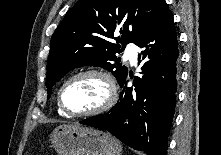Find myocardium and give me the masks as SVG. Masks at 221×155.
<instances>
[{
	"label": "myocardium",
	"mask_w": 221,
	"mask_h": 155,
	"mask_svg": "<svg viewBox=\"0 0 221 155\" xmlns=\"http://www.w3.org/2000/svg\"><path fill=\"white\" fill-rule=\"evenodd\" d=\"M85 76H96V77L100 78L105 83L106 98L100 106H98L97 108H95L93 110H89L86 112H79V113L72 112L69 109H67V107L65 106V104L63 102L64 90L72 81H74L80 77H85ZM117 95H118V93H117L116 83H115L114 79L112 78V76L108 72H106L102 69L89 68V69H83V70H80V71L74 73L73 75H71L69 78H67L63 82V84L61 85L59 92H58L57 102H58L59 108L67 116L77 117V118L93 117V116L101 115V114L107 112L108 110H110L114 106V104L116 103Z\"/></svg>",
	"instance_id": "1"
}]
</instances>
